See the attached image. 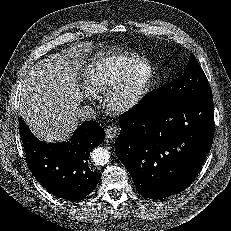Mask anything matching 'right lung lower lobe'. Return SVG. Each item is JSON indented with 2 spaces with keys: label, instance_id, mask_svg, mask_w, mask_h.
<instances>
[{
  "label": "right lung lower lobe",
  "instance_id": "right-lung-lower-lobe-1",
  "mask_svg": "<svg viewBox=\"0 0 231 231\" xmlns=\"http://www.w3.org/2000/svg\"><path fill=\"white\" fill-rule=\"evenodd\" d=\"M26 162L35 178L52 194L66 200L84 198L96 187L100 174L88 165L90 151L102 144L103 128L95 121L83 122L69 141L45 143L19 120Z\"/></svg>",
  "mask_w": 231,
  "mask_h": 231
}]
</instances>
